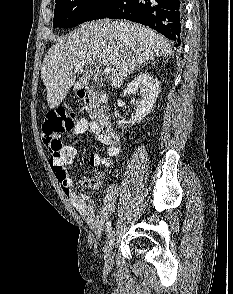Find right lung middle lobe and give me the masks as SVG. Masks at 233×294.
Here are the masks:
<instances>
[{
	"label": "right lung middle lobe",
	"mask_w": 233,
	"mask_h": 294,
	"mask_svg": "<svg viewBox=\"0 0 233 294\" xmlns=\"http://www.w3.org/2000/svg\"><path fill=\"white\" fill-rule=\"evenodd\" d=\"M119 0H55L53 27L72 28L105 18Z\"/></svg>",
	"instance_id": "right-lung-middle-lobe-1"
}]
</instances>
